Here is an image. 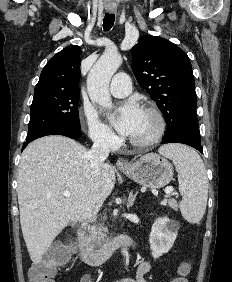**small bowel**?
I'll return each instance as SVG.
<instances>
[{"label": "small bowel", "instance_id": "small-bowel-1", "mask_svg": "<svg viewBox=\"0 0 232 282\" xmlns=\"http://www.w3.org/2000/svg\"><path fill=\"white\" fill-rule=\"evenodd\" d=\"M151 269V264L149 261H144L140 263L136 270L135 279H126L123 282H149L146 279L147 273ZM79 282H94V277L91 274H84Z\"/></svg>", "mask_w": 232, "mask_h": 282}]
</instances>
